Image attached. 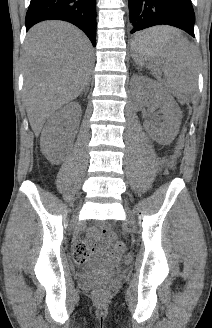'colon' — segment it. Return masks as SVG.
<instances>
[{
	"mask_svg": "<svg viewBox=\"0 0 212 328\" xmlns=\"http://www.w3.org/2000/svg\"><path fill=\"white\" fill-rule=\"evenodd\" d=\"M102 233L109 240V242L111 243V246L114 249L120 251L121 253L125 250V246H124L123 242L120 240L117 233H115L114 231L108 230V229H103ZM74 259L78 262L85 260L84 257L77 251L74 252ZM123 261L125 263H129L131 261V256L125 255L123 258ZM94 294L97 297H103L106 294V290L103 287H97L94 289Z\"/></svg>",
	"mask_w": 212,
	"mask_h": 328,
	"instance_id": "obj_1",
	"label": "colon"
}]
</instances>
